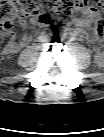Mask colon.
<instances>
[{
	"mask_svg": "<svg viewBox=\"0 0 104 137\" xmlns=\"http://www.w3.org/2000/svg\"><path fill=\"white\" fill-rule=\"evenodd\" d=\"M84 8L102 10L104 0H4L0 6L1 32L11 31L17 21L28 17L47 24L52 13L70 14ZM101 32L98 25L97 34L101 35Z\"/></svg>",
	"mask_w": 104,
	"mask_h": 137,
	"instance_id": "colon-1",
	"label": "colon"
}]
</instances>
